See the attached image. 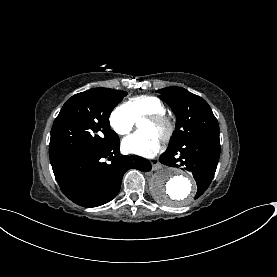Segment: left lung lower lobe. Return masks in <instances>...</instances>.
<instances>
[{
  "mask_svg": "<svg viewBox=\"0 0 277 277\" xmlns=\"http://www.w3.org/2000/svg\"><path fill=\"white\" fill-rule=\"evenodd\" d=\"M219 156V133H209L190 138L176 148H168L160 156V162L171 167L183 166L191 171L197 183V198L211 183Z\"/></svg>",
  "mask_w": 277,
  "mask_h": 277,
  "instance_id": "1",
  "label": "left lung lower lobe"
}]
</instances>
